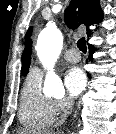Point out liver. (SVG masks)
<instances>
[{
	"instance_id": "1",
	"label": "liver",
	"mask_w": 116,
	"mask_h": 134,
	"mask_svg": "<svg viewBox=\"0 0 116 134\" xmlns=\"http://www.w3.org/2000/svg\"><path fill=\"white\" fill-rule=\"evenodd\" d=\"M19 134H28V133H26V132H20ZM44 134H53V132L52 131H47L46 133H44Z\"/></svg>"
}]
</instances>
